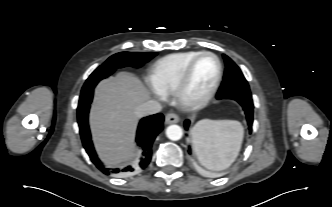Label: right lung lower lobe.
I'll return each mask as SVG.
<instances>
[{"label": "right lung lower lobe", "instance_id": "98d812e1", "mask_svg": "<svg viewBox=\"0 0 332 207\" xmlns=\"http://www.w3.org/2000/svg\"><path fill=\"white\" fill-rule=\"evenodd\" d=\"M93 98V90L81 93L77 108L78 124L83 146L94 165L106 175L126 176L138 169H145L151 161L152 143L163 129L164 116L161 113L143 118L138 126L136 142L142 149L140 160L134 165L118 168H107L98 158L88 126V113Z\"/></svg>", "mask_w": 332, "mask_h": 207}]
</instances>
